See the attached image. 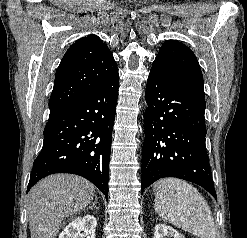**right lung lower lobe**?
Instances as JSON below:
<instances>
[{"instance_id": "1", "label": "right lung lower lobe", "mask_w": 247, "mask_h": 238, "mask_svg": "<svg viewBox=\"0 0 247 238\" xmlns=\"http://www.w3.org/2000/svg\"><path fill=\"white\" fill-rule=\"evenodd\" d=\"M119 74L49 115L43 148L34 161L27 192L54 173L83 176L108 199L109 160Z\"/></svg>"}]
</instances>
